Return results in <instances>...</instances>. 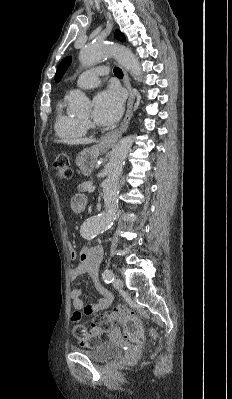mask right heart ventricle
Returning a JSON list of instances; mask_svg holds the SVG:
<instances>
[{
	"label": "right heart ventricle",
	"mask_w": 232,
	"mask_h": 399,
	"mask_svg": "<svg viewBox=\"0 0 232 399\" xmlns=\"http://www.w3.org/2000/svg\"><path fill=\"white\" fill-rule=\"evenodd\" d=\"M87 131L88 125L83 119L65 113L62 107L58 106L54 119V132L60 140L76 143L86 136Z\"/></svg>",
	"instance_id": "right-heart-ventricle-1"
}]
</instances>
